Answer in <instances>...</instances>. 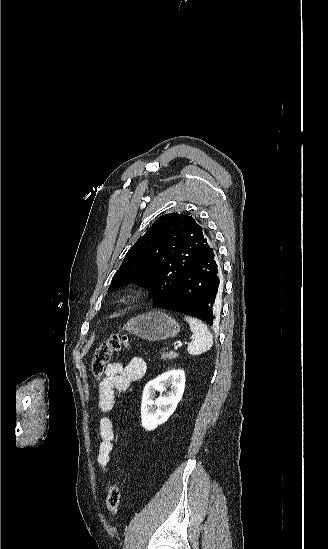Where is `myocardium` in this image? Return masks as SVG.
I'll list each match as a JSON object with an SVG mask.
<instances>
[{
	"mask_svg": "<svg viewBox=\"0 0 328 549\" xmlns=\"http://www.w3.org/2000/svg\"><path fill=\"white\" fill-rule=\"evenodd\" d=\"M136 290H132V293H134Z\"/></svg>",
	"mask_w": 328,
	"mask_h": 549,
	"instance_id": "obj_1",
	"label": "myocardium"
}]
</instances>
